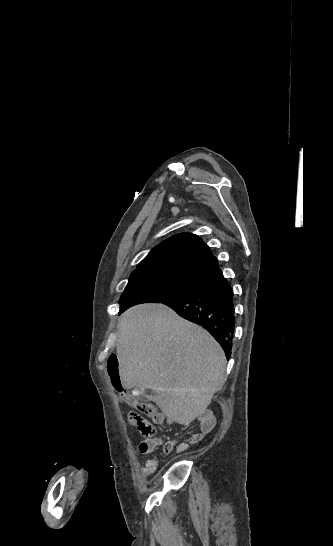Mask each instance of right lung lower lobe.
I'll return each instance as SVG.
<instances>
[{"label": "right lung lower lobe", "mask_w": 333, "mask_h": 546, "mask_svg": "<svg viewBox=\"0 0 333 546\" xmlns=\"http://www.w3.org/2000/svg\"><path fill=\"white\" fill-rule=\"evenodd\" d=\"M161 303L208 330L230 358L235 328L233 290L219 268L195 289Z\"/></svg>", "instance_id": "obj_1"}]
</instances>
